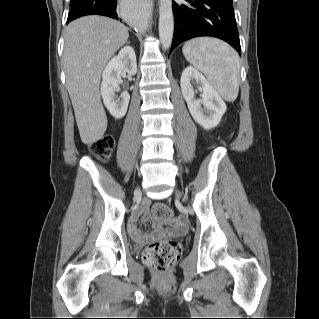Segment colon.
I'll use <instances>...</instances> for the list:
<instances>
[{
    "instance_id": "obj_1",
    "label": "colon",
    "mask_w": 319,
    "mask_h": 319,
    "mask_svg": "<svg viewBox=\"0 0 319 319\" xmlns=\"http://www.w3.org/2000/svg\"><path fill=\"white\" fill-rule=\"evenodd\" d=\"M114 147L113 137L107 135L91 145L93 152L101 157H107ZM152 215L157 220L173 218V211L165 204L153 207ZM181 244L176 240H162L148 244L142 254L146 266L163 276L174 265L181 255Z\"/></svg>"
}]
</instances>
